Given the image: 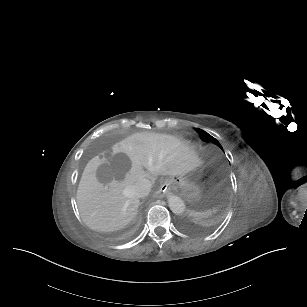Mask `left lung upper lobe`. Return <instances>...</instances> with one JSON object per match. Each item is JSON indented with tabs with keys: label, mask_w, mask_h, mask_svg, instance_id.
Segmentation results:
<instances>
[{
	"label": "left lung upper lobe",
	"mask_w": 307,
	"mask_h": 307,
	"mask_svg": "<svg viewBox=\"0 0 307 307\" xmlns=\"http://www.w3.org/2000/svg\"><path fill=\"white\" fill-rule=\"evenodd\" d=\"M196 130L200 134V137L203 141L212 142L222 149V146L220 145V143L214 137H212L211 135H209L208 133H206L205 131H203L199 128H197Z\"/></svg>",
	"instance_id": "5c2ea615"
}]
</instances>
